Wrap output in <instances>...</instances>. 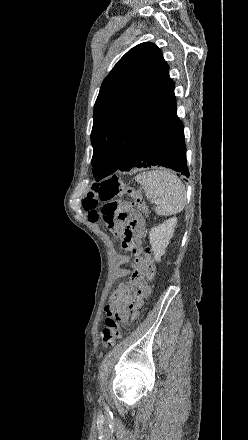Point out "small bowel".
I'll use <instances>...</instances> for the list:
<instances>
[{
  "mask_svg": "<svg viewBox=\"0 0 248 440\" xmlns=\"http://www.w3.org/2000/svg\"><path fill=\"white\" fill-rule=\"evenodd\" d=\"M124 209L130 212L129 205L123 203ZM116 233H122L124 249L130 251L134 255L132 269L121 270L120 274H131V285L119 284L110 296L109 310L118 312L123 320L128 318V310L137 309L142 305V297L150 291L149 286L142 275V258H141V238L145 231L143 221H134L129 219L126 226L116 225L112 228ZM129 261L126 255H118L116 263L118 265L125 264ZM134 287L139 289V295L135 293ZM130 321H126V326H131L137 318V313H132ZM132 322V323H131Z\"/></svg>",
  "mask_w": 248,
  "mask_h": 440,
  "instance_id": "obj_1",
  "label": "small bowel"
}]
</instances>
